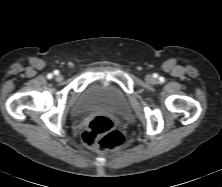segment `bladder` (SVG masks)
I'll return each instance as SVG.
<instances>
[{"mask_svg":"<svg viewBox=\"0 0 222 187\" xmlns=\"http://www.w3.org/2000/svg\"><path fill=\"white\" fill-rule=\"evenodd\" d=\"M106 110L117 115L129 112V100L118 86L102 81L89 83L78 95L71 113L74 116Z\"/></svg>","mask_w":222,"mask_h":187,"instance_id":"1","label":"bladder"}]
</instances>
